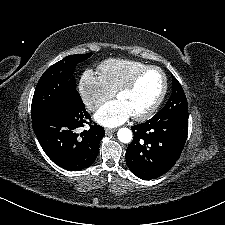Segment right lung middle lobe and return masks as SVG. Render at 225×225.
<instances>
[{
  "label": "right lung middle lobe",
  "mask_w": 225,
  "mask_h": 225,
  "mask_svg": "<svg viewBox=\"0 0 225 225\" xmlns=\"http://www.w3.org/2000/svg\"><path fill=\"white\" fill-rule=\"evenodd\" d=\"M92 53L69 55L49 67L38 81L31 105V117L36 118L61 105L81 104L82 99L71 77L76 65Z\"/></svg>",
  "instance_id": "obj_1"
}]
</instances>
